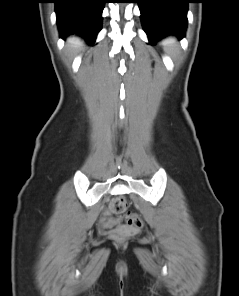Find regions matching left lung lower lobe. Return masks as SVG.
Wrapping results in <instances>:
<instances>
[{
    "label": "left lung lower lobe",
    "instance_id": "obj_1",
    "mask_svg": "<svg viewBox=\"0 0 239 296\" xmlns=\"http://www.w3.org/2000/svg\"><path fill=\"white\" fill-rule=\"evenodd\" d=\"M141 21L150 42L168 36L182 38L187 27L190 0H137Z\"/></svg>",
    "mask_w": 239,
    "mask_h": 296
}]
</instances>
